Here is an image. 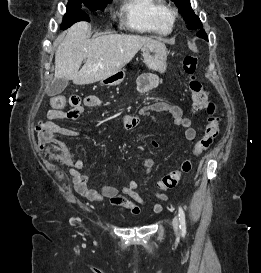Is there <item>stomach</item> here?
<instances>
[{"label": "stomach", "instance_id": "1", "mask_svg": "<svg viewBox=\"0 0 261 273\" xmlns=\"http://www.w3.org/2000/svg\"><path fill=\"white\" fill-rule=\"evenodd\" d=\"M143 61L145 65L154 71L163 73L166 69V60L168 51L164 43L153 40L146 43L141 48ZM125 78V72L121 69L110 77L102 80L103 83L108 85L120 84Z\"/></svg>", "mask_w": 261, "mask_h": 273}]
</instances>
